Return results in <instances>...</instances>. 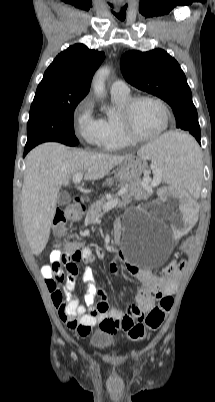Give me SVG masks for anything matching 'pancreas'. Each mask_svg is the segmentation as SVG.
Wrapping results in <instances>:
<instances>
[{"mask_svg":"<svg viewBox=\"0 0 215 402\" xmlns=\"http://www.w3.org/2000/svg\"><path fill=\"white\" fill-rule=\"evenodd\" d=\"M151 187L149 185H144L141 183V181H136L132 182L126 185H122L121 189L124 190V193L121 195L122 200L118 204V208L125 207L128 205L134 196L139 195L140 193H144L146 190L150 189ZM111 199L108 198H102L101 200L96 201L93 203L87 213H86V218L85 222L87 224H92L95 222L97 218L102 216V214L105 212L104 206L109 203Z\"/></svg>","mask_w":215,"mask_h":402,"instance_id":"pancreas-1","label":"pancreas"}]
</instances>
